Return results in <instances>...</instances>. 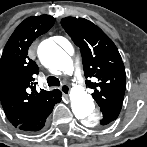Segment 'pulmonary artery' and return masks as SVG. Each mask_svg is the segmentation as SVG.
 I'll return each instance as SVG.
<instances>
[{
  "mask_svg": "<svg viewBox=\"0 0 147 147\" xmlns=\"http://www.w3.org/2000/svg\"><path fill=\"white\" fill-rule=\"evenodd\" d=\"M80 71H81L80 63L78 61H76L75 62V72H74V75L76 77H79L80 76Z\"/></svg>",
  "mask_w": 147,
  "mask_h": 147,
  "instance_id": "e3ab8cb5",
  "label": "pulmonary artery"
}]
</instances>
